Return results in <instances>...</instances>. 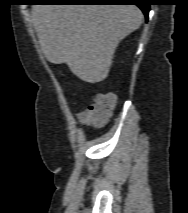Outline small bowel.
<instances>
[{"label": "small bowel", "mask_w": 188, "mask_h": 213, "mask_svg": "<svg viewBox=\"0 0 188 213\" xmlns=\"http://www.w3.org/2000/svg\"><path fill=\"white\" fill-rule=\"evenodd\" d=\"M78 119L83 124H89V123L92 122L91 119H90V117H89V115H88V110L87 109L81 111L78 114Z\"/></svg>", "instance_id": "c3829d8e"}]
</instances>
